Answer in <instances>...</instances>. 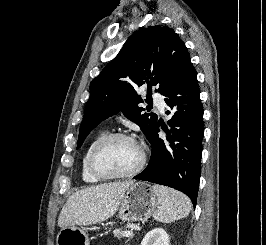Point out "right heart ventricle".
Listing matches in <instances>:
<instances>
[{
    "instance_id": "right-heart-ventricle-1",
    "label": "right heart ventricle",
    "mask_w": 266,
    "mask_h": 245,
    "mask_svg": "<svg viewBox=\"0 0 266 245\" xmlns=\"http://www.w3.org/2000/svg\"><path fill=\"white\" fill-rule=\"evenodd\" d=\"M107 132L105 129L98 131L96 134H94L90 140L88 141L86 148L83 152L81 162H80V176L84 183L86 184H98L102 180L97 178L90 170L89 168V154L93 147V145L96 143L98 139H100L103 135H105Z\"/></svg>"
}]
</instances>
